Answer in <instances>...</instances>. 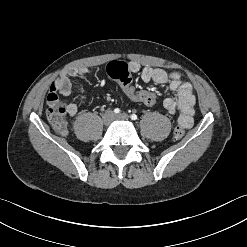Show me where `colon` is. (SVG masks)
Segmentation results:
<instances>
[{
  "label": "colon",
  "mask_w": 247,
  "mask_h": 247,
  "mask_svg": "<svg viewBox=\"0 0 247 247\" xmlns=\"http://www.w3.org/2000/svg\"><path fill=\"white\" fill-rule=\"evenodd\" d=\"M107 74L120 82L123 93L134 102H140L144 106H154L158 95L147 90H138L132 83V75L127 64L119 61L110 62L106 67ZM47 118L51 125L61 134L67 132L66 108L59 100L58 93L51 90L47 95ZM185 130L182 126L175 127L173 131L174 140L183 138Z\"/></svg>",
  "instance_id": "1"
}]
</instances>
